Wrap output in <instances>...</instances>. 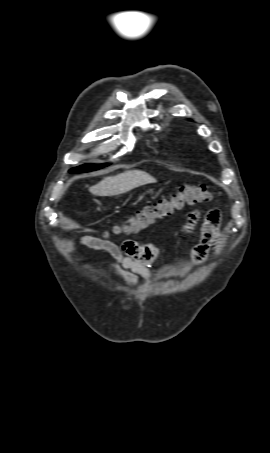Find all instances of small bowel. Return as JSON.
I'll list each match as a JSON object with an SVG mask.
<instances>
[{
    "label": "small bowel",
    "instance_id": "1",
    "mask_svg": "<svg viewBox=\"0 0 270 453\" xmlns=\"http://www.w3.org/2000/svg\"><path fill=\"white\" fill-rule=\"evenodd\" d=\"M200 218V211L190 212L186 223L181 227V233L185 236L192 235ZM220 223V210L212 209L204 215L200 227V241L191 253L195 265H201L210 248L217 245L220 238ZM79 244L109 254L115 261L110 267L111 271L132 286H137L140 279L152 278L151 267L159 257V249L155 245H140L130 239L123 241L121 245H116L108 240L87 235L80 238Z\"/></svg>",
    "mask_w": 270,
    "mask_h": 453
}]
</instances>
